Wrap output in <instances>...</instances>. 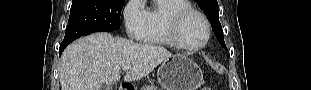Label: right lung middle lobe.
Returning a JSON list of instances; mask_svg holds the SVG:
<instances>
[{
    "mask_svg": "<svg viewBox=\"0 0 311 90\" xmlns=\"http://www.w3.org/2000/svg\"><path fill=\"white\" fill-rule=\"evenodd\" d=\"M125 0H73L63 44L91 34L120 28Z\"/></svg>",
    "mask_w": 311,
    "mask_h": 90,
    "instance_id": "obj_1",
    "label": "right lung middle lobe"
}]
</instances>
